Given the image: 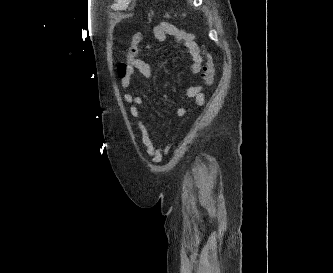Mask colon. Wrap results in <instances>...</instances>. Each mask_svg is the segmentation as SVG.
<instances>
[{"mask_svg":"<svg viewBox=\"0 0 333 273\" xmlns=\"http://www.w3.org/2000/svg\"><path fill=\"white\" fill-rule=\"evenodd\" d=\"M165 15L167 17H171V16H183L184 14L168 11L165 13ZM141 45H142V35L140 32H136L132 37L131 45L127 51L126 61L120 65L121 75H123V73L125 72L127 65L139 56V53L141 51ZM202 76L205 86L212 85L215 76V65L212 58L208 54H207V63L204 68V73L202 74Z\"/></svg>","mask_w":333,"mask_h":273,"instance_id":"1","label":"colon"}]
</instances>
